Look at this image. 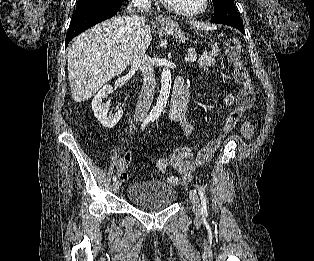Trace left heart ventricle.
<instances>
[{
	"mask_svg": "<svg viewBox=\"0 0 314 261\" xmlns=\"http://www.w3.org/2000/svg\"><path fill=\"white\" fill-rule=\"evenodd\" d=\"M174 6L182 9H196L201 5L202 0H168Z\"/></svg>",
	"mask_w": 314,
	"mask_h": 261,
	"instance_id": "left-heart-ventricle-1",
	"label": "left heart ventricle"
}]
</instances>
